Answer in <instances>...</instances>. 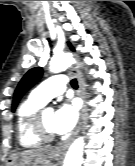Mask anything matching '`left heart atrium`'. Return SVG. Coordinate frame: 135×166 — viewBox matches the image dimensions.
Masks as SVG:
<instances>
[{
    "label": "left heart atrium",
    "instance_id": "1",
    "mask_svg": "<svg viewBox=\"0 0 135 166\" xmlns=\"http://www.w3.org/2000/svg\"><path fill=\"white\" fill-rule=\"evenodd\" d=\"M78 120V106L74 101L64 102L55 112L53 131L59 135H67L75 127Z\"/></svg>",
    "mask_w": 135,
    "mask_h": 166
}]
</instances>
